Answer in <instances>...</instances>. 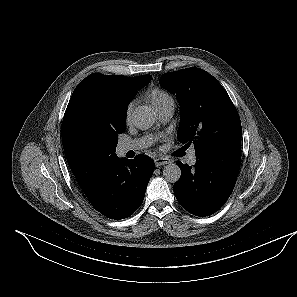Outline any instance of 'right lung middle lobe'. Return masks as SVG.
I'll use <instances>...</instances> for the list:
<instances>
[{"instance_id":"1","label":"right lung middle lobe","mask_w":297,"mask_h":297,"mask_svg":"<svg viewBox=\"0 0 297 297\" xmlns=\"http://www.w3.org/2000/svg\"><path fill=\"white\" fill-rule=\"evenodd\" d=\"M126 128V119H122L113 126H107L93 135L95 145L108 154H115L118 143V134L123 133Z\"/></svg>"}]
</instances>
